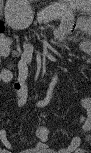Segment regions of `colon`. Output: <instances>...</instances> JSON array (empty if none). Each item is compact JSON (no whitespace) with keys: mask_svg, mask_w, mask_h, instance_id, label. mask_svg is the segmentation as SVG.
<instances>
[{"mask_svg":"<svg viewBox=\"0 0 91 153\" xmlns=\"http://www.w3.org/2000/svg\"><path fill=\"white\" fill-rule=\"evenodd\" d=\"M1 40H2L3 45H8L9 40L6 37H2Z\"/></svg>","mask_w":91,"mask_h":153,"instance_id":"1","label":"colon"}]
</instances>
